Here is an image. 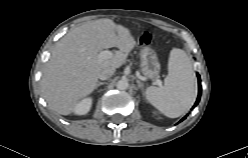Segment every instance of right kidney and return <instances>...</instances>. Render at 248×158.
Returning a JSON list of instances; mask_svg holds the SVG:
<instances>
[{
  "mask_svg": "<svg viewBox=\"0 0 248 158\" xmlns=\"http://www.w3.org/2000/svg\"><path fill=\"white\" fill-rule=\"evenodd\" d=\"M93 99L91 97L82 99L76 106L74 107L73 112L76 115H85L88 113L92 107Z\"/></svg>",
  "mask_w": 248,
  "mask_h": 158,
  "instance_id": "1",
  "label": "right kidney"
}]
</instances>
